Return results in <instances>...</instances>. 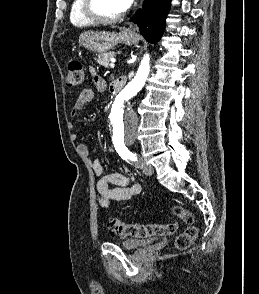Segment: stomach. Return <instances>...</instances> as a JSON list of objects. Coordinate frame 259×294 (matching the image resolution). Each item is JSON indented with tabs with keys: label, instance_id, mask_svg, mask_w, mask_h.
<instances>
[{
	"label": "stomach",
	"instance_id": "0dacf381",
	"mask_svg": "<svg viewBox=\"0 0 259 294\" xmlns=\"http://www.w3.org/2000/svg\"><path fill=\"white\" fill-rule=\"evenodd\" d=\"M135 39L134 35L125 31L119 33L86 31L79 36V45L92 52L102 54L113 49L119 43L131 45Z\"/></svg>",
	"mask_w": 259,
	"mask_h": 294
}]
</instances>
